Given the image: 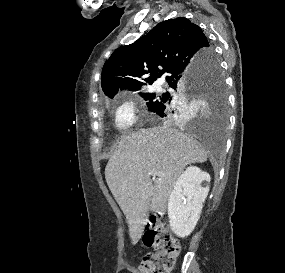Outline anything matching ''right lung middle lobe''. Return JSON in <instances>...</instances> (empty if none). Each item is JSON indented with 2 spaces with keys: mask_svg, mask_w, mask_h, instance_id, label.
Wrapping results in <instances>:
<instances>
[{
  "mask_svg": "<svg viewBox=\"0 0 285 273\" xmlns=\"http://www.w3.org/2000/svg\"><path fill=\"white\" fill-rule=\"evenodd\" d=\"M207 59V67L199 77L194 79V85L183 91L177 89L180 92L178 95L169 93L161 96L150 93L141 94L144 100H148V110L154 112L160 104H165L166 113L171 120H174L181 115L184 106L190 105L194 99L206 100L218 110V127L223 132L227 124L225 82L214 51L208 55Z\"/></svg>",
  "mask_w": 285,
  "mask_h": 273,
  "instance_id": "obj_1",
  "label": "right lung middle lobe"
}]
</instances>
